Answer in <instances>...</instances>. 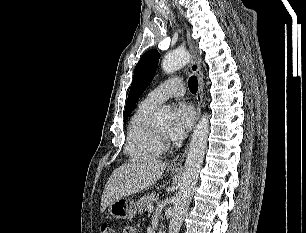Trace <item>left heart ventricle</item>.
I'll return each instance as SVG.
<instances>
[{"label":"left heart ventricle","mask_w":306,"mask_h":233,"mask_svg":"<svg viewBox=\"0 0 306 233\" xmlns=\"http://www.w3.org/2000/svg\"><path fill=\"white\" fill-rule=\"evenodd\" d=\"M158 130L162 132L163 134L167 135L169 132V127L168 126L159 127Z\"/></svg>","instance_id":"left-heart-ventricle-1"}]
</instances>
